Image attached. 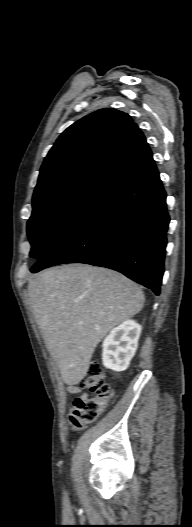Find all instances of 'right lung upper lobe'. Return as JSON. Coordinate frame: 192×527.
I'll use <instances>...</instances> for the list:
<instances>
[{
    "label": "right lung upper lobe",
    "instance_id": "right-lung-upper-lobe-1",
    "mask_svg": "<svg viewBox=\"0 0 192 527\" xmlns=\"http://www.w3.org/2000/svg\"><path fill=\"white\" fill-rule=\"evenodd\" d=\"M147 146L128 114L112 108L93 112L57 139L41 166L34 195L87 177L108 181Z\"/></svg>",
    "mask_w": 192,
    "mask_h": 527
}]
</instances>
